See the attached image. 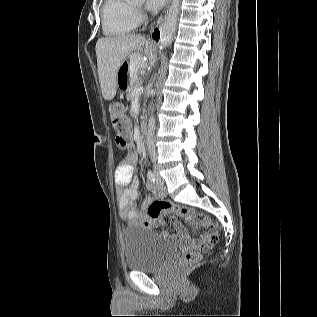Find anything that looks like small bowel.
I'll return each instance as SVG.
<instances>
[{
	"label": "small bowel",
	"mask_w": 317,
	"mask_h": 317,
	"mask_svg": "<svg viewBox=\"0 0 317 317\" xmlns=\"http://www.w3.org/2000/svg\"><path fill=\"white\" fill-rule=\"evenodd\" d=\"M136 160L135 154L128 155L116 168L115 183L117 186L118 203L121 219L128 225L140 224L148 228H156L161 224L160 219H152L147 214L146 210L151 203L152 198H147L143 201L140 208L136 207V203L140 200L141 194L138 190V180L134 176L133 164ZM147 189L153 191L155 198L165 196V191L162 188L155 187L151 182L146 184ZM189 220L193 219L191 215ZM206 225L207 221L203 219ZM178 233L186 238V230L180 224H176ZM166 235V232H163Z\"/></svg>",
	"instance_id": "c3829d8e"
}]
</instances>
